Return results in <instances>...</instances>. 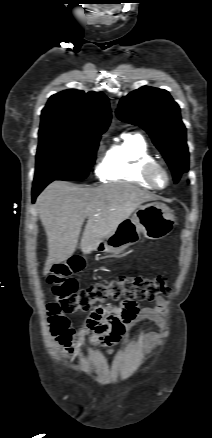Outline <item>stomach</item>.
<instances>
[{"label":"stomach","mask_w":212,"mask_h":438,"mask_svg":"<svg viewBox=\"0 0 212 438\" xmlns=\"http://www.w3.org/2000/svg\"><path fill=\"white\" fill-rule=\"evenodd\" d=\"M176 219L173 211L164 203L150 202L140 206L130 219L122 221L117 229L105 238L103 251L121 253L141 237L160 240L174 229Z\"/></svg>","instance_id":"stomach-1"}]
</instances>
